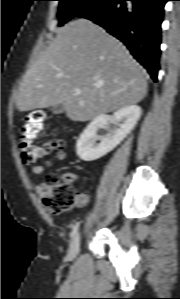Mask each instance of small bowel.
I'll list each match as a JSON object with an SVG mask.
<instances>
[{
	"instance_id": "obj_1",
	"label": "small bowel",
	"mask_w": 180,
	"mask_h": 299,
	"mask_svg": "<svg viewBox=\"0 0 180 299\" xmlns=\"http://www.w3.org/2000/svg\"><path fill=\"white\" fill-rule=\"evenodd\" d=\"M66 158V153L64 151H59L52 160L47 162V166L52 165L55 162H61ZM45 169V166L43 165H35L32 167V172L36 175L42 174ZM63 178L69 182L73 183L76 180V176L73 173H65L63 175ZM36 192L40 197H44L47 193V186L44 184H39L36 186ZM88 200V196L84 193H78L77 194V201L76 204L78 207H82L86 204Z\"/></svg>"
}]
</instances>
